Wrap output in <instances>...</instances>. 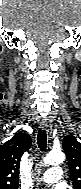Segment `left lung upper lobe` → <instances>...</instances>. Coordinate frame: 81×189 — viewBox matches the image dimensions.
Wrapping results in <instances>:
<instances>
[{"instance_id":"5c2ea615","label":"left lung upper lobe","mask_w":81,"mask_h":189,"mask_svg":"<svg viewBox=\"0 0 81 189\" xmlns=\"http://www.w3.org/2000/svg\"><path fill=\"white\" fill-rule=\"evenodd\" d=\"M62 145L68 160L72 184L75 189H81V143L73 135H67Z\"/></svg>"}]
</instances>
